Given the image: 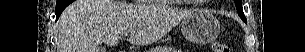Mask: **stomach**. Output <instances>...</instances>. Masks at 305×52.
Returning a JSON list of instances; mask_svg holds the SVG:
<instances>
[{
    "mask_svg": "<svg viewBox=\"0 0 305 52\" xmlns=\"http://www.w3.org/2000/svg\"><path fill=\"white\" fill-rule=\"evenodd\" d=\"M220 30V23L216 17L205 11H194L183 19L182 35L191 42L205 44L213 41Z\"/></svg>",
    "mask_w": 305,
    "mask_h": 52,
    "instance_id": "1",
    "label": "stomach"
}]
</instances>
